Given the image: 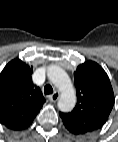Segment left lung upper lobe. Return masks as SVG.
<instances>
[{
  "instance_id": "obj_1",
  "label": "left lung upper lobe",
  "mask_w": 118,
  "mask_h": 142,
  "mask_svg": "<svg viewBox=\"0 0 118 142\" xmlns=\"http://www.w3.org/2000/svg\"><path fill=\"white\" fill-rule=\"evenodd\" d=\"M74 79L77 104L72 112L59 113L64 125L78 134L100 129L115 102L106 72L99 64L87 61L78 66Z\"/></svg>"
}]
</instances>
